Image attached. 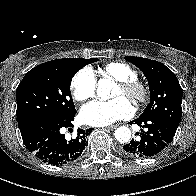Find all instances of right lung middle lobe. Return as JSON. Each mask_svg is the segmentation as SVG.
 I'll use <instances>...</instances> for the list:
<instances>
[{
    "label": "right lung middle lobe",
    "mask_w": 196,
    "mask_h": 196,
    "mask_svg": "<svg viewBox=\"0 0 196 196\" xmlns=\"http://www.w3.org/2000/svg\"><path fill=\"white\" fill-rule=\"evenodd\" d=\"M72 58L42 63L26 73L17 87V120L19 127L39 117L64 118L76 113L70 83L85 65Z\"/></svg>",
    "instance_id": "dd1d6c3e"
}]
</instances>
